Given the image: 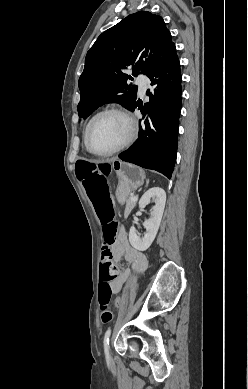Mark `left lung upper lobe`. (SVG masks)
Returning <instances> with one entry per match:
<instances>
[{"label": "left lung upper lobe", "mask_w": 248, "mask_h": 389, "mask_svg": "<svg viewBox=\"0 0 248 389\" xmlns=\"http://www.w3.org/2000/svg\"><path fill=\"white\" fill-rule=\"evenodd\" d=\"M170 31L162 17L147 11L130 14L103 32L87 52L79 78L78 114L87 118L99 106L116 102L130 109L136 102L137 86L127 85L131 76L123 70L150 68L173 45Z\"/></svg>", "instance_id": "1"}]
</instances>
